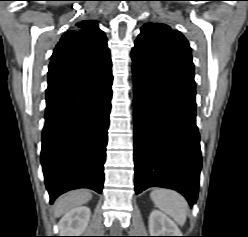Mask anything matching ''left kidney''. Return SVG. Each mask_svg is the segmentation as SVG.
I'll use <instances>...</instances> for the list:
<instances>
[{
    "label": "left kidney",
    "mask_w": 248,
    "mask_h": 237,
    "mask_svg": "<svg viewBox=\"0 0 248 237\" xmlns=\"http://www.w3.org/2000/svg\"><path fill=\"white\" fill-rule=\"evenodd\" d=\"M149 232L150 236H182L173 220L158 210L149 216Z\"/></svg>",
    "instance_id": "5707ae66"
}]
</instances>
